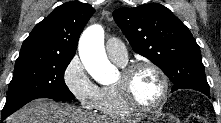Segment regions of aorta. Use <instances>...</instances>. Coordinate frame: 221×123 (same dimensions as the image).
I'll use <instances>...</instances> for the list:
<instances>
[{"mask_svg": "<svg viewBox=\"0 0 221 123\" xmlns=\"http://www.w3.org/2000/svg\"><path fill=\"white\" fill-rule=\"evenodd\" d=\"M79 56L88 73L99 83H109L115 73L104 48V29L99 24L89 26L79 40Z\"/></svg>", "mask_w": 221, "mask_h": 123, "instance_id": "obj_1", "label": "aorta"}]
</instances>
